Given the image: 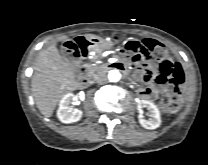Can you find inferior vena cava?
Segmentation results:
<instances>
[{"label":"inferior vena cava","mask_w":208,"mask_h":165,"mask_svg":"<svg viewBox=\"0 0 208 165\" xmlns=\"http://www.w3.org/2000/svg\"><path fill=\"white\" fill-rule=\"evenodd\" d=\"M96 81H97V83H99V84H104V83L107 82V77H106V75H104V74H100V75H98V76L96 77Z\"/></svg>","instance_id":"obj_1"}]
</instances>
